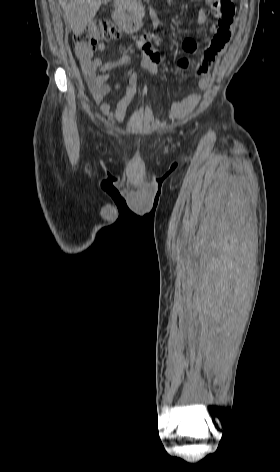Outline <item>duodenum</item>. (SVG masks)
I'll return each mask as SVG.
<instances>
[{"label": "duodenum", "instance_id": "obj_1", "mask_svg": "<svg viewBox=\"0 0 280 472\" xmlns=\"http://www.w3.org/2000/svg\"><path fill=\"white\" fill-rule=\"evenodd\" d=\"M114 20L125 32H134L143 24V11L138 7L120 9L114 13Z\"/></svg>", "mask_w": 280, "mask_h": 472}]
</instances>
